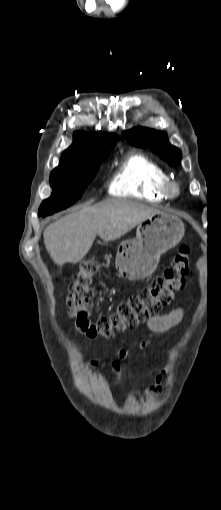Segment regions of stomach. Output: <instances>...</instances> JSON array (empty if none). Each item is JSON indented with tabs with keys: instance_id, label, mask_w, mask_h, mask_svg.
I'll use <instances>...</instances> for the list:
<instances>
[{
	"instance_id": "obj_1",
	"label": "stomach",
	"mask_w": 221,
	"mask_h": 510,
	"mask_svg": "<svg viewBox=\"0 0 221 510\" xmlns=\"http://www.w3.org/2000/svg\"><path fill=\"white\" fill-rule=\"evenodd\" d=\"M185 233L179 217L159 212L142 221L136 238L125 240L117 248L116 269L125 279L138 281L149 277L160 256L175 247Z\"/></svg>"
}]
</instances>
